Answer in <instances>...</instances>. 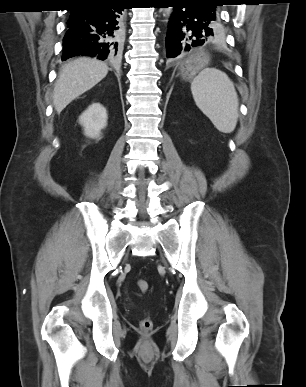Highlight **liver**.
I'll list each match as a JSON object with an SVG mask.
<instances>
[{"label": "liver", "mask_w": 306, "mask_h": 387, "mask_svg": "<svg viewBox=\"0 0 306 387\" xmlns=\"http://www.w3.org/2000/svg\"><path fill=\"white\" fill-rule=\"evenodd\" d=\"M106 63L86 57L66 63L56 81L53 105L60 113L74 99L87 92L106 77Z\"/></svg>", "instance_id": "obj_1"}]
</instances>
